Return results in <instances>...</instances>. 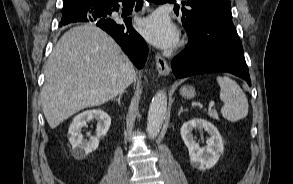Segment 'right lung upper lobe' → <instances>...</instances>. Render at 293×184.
<instances>
[{"mask_svg":"<svg viewBox=\"0 0 293 184\" xmlns=\"http://www.w3.org/2000/svg\"><path fill=\"white\" fill-rule=\"evenodd\" d=\"M109 0H64L62 18L76 14L82 9L97 6Z\"/></svg>","mask_w":293,"mask_h":184,"instance_id":"right-lung-upper-lobe-1","label":"right lung upper lobe"}]
</instances>
